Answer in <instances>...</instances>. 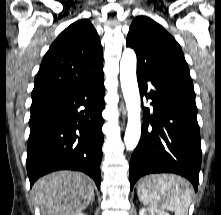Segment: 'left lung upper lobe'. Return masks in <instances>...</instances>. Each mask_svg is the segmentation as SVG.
<instances>
[{
	"label": "left lung upper lobe",
	"mask_w": 221,
	"mask_h": 215,
	"mask_svg": "<svg viewBox=\"0 0 221 215\" xmlns=\"http://www.w3.org/2000/svg\"><path fill=\"white\" fill-rule=\"evenodd\" d=\"M126 45L136 52L138 72L170 79L194 90L180 45L151 18L138 16L133 20Z\"/></svg>",
	"instance_id": "5c2ea615"
}]
</instances>
